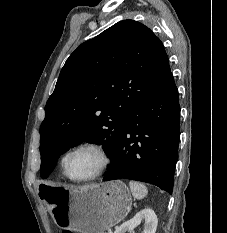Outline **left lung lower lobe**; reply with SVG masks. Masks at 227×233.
Instances as JSON below:
<instances>
[{
	"label": "left lung lower lobe",
	"instance_id": "obj_1",
	"mask_svg": "<svg viewBox=\"0 0 227 233\" xmlns=\"http://www.w3.org/2000/svg\"><path fill=\"white\" fill-rule=\"evenodd\" d=\"M179 121L178 90L170 73L151 97L132 109L103 180L147 182L172 194Z\"/></svg>",
	"mask_w": 227,
	"mask_h": 233
}]
</instances>
